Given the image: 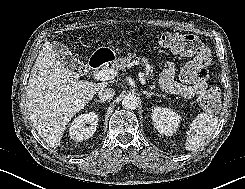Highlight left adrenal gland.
<instances>
[{"label":"left adrenal gland","instance_id":"a2214340","mask_svg":"<svg viewBox=\"0 0 245 189\" xmlns=\"http://www.w3.org/2000/svg\"><path fill=\"white\" fill-rule=\"evenodd\" d=\"M143 94L146 95L147 99L150 98L151 96L160 97V95L158 93H156V92H149V91H145V90H143Z\"/></svg>","mask_w":245,"mask_h":189}]
</instances>
